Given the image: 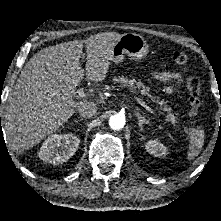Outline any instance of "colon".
I'll list each match as a JSON object with an SVG mask.
<instances>
[{"label":"colon","instance_id":"colon-1","mask_svg":"<svg viewBox=\"0 0 221 221\" xmlns=\"http://www.w3.org/2000/svg\"><path fill=\"white\" fill-rule=\"evenodd\" d=\"M173 62L186 70L188 64V57L185 53L177 52L173 55ZM186 86L189 92L190 101V116L194 119L198 118L200 109L202 107L201 86L199 80L194 76H189L186 80Z\"/></svg>","mask_w":221,"mask_h":221}]
</instances>
